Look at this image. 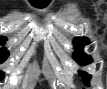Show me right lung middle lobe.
Returning <instances> with one entry per match:
<instances>
[{
    "mask_svg": "<svg viewBox=\"0 0 107 89\" xmlns=\"http://www.w3.org/2000/svg\"><path fill=\"white\" fill-rule=\"evenodd\" d=\"M1 43H3L4 41H6V38L1 37ZM9 52L6 49H1L0 50V62H4L6 60V58L8 57ZM1 78H3V74H1Z\"/></svg>",
    "mask_w": 107,
    "mask_h": 89,
    "instance_id": "obj_1",
    "label": "right lung middle lobe"
}]
</instances>
